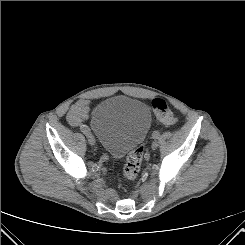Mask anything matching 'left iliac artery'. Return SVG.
<instances>
[{"mask_svg":"<svg viewBox=\"0 0 245 245\" xmlns=\"http://www.w3.org/2000/svg\"><path fill=\"white\" fill-rule=\"evenodd\" d=\"M160 136L159 132L155 131L153 134H152V138L153 139H158Z\"/></svg>","mask_w":245,"mask_h":245,"instance_id":"obj_1","label":"left iliac artery"}]
</instances>
